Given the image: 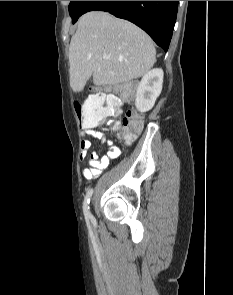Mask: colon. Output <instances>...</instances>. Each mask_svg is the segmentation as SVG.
I'll return each instance as SVG.
<instances>
[{
	"label": "colon",
	"mask_w": 233,
	"mask_h": 295,
	"mask_svg": "<svg viewBox=\"0 0 233 295\" xmlns=\"http://www.w3.org/2000/svg\"><path fill=\"white\" fill-rule=\"evenodd\" d=\"M137 88L135 82H126L116 86L106 87L105 91L90 96L84 103L76 102L75 109L81 124L90 126L107 116H117L121 112L120 97H131ZM141 117L128 110L122 120L119 137L125 142H131L141 131Z\"/></svg>",
	"instance_id": "1"
}]
</instances>
